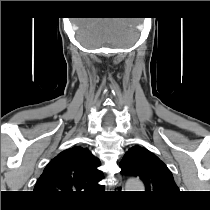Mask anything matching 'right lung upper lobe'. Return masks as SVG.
<instances>
[{"instance_id": "1", "label": "right lung upper lobe", "mask_w": 210, "mask_h": 210, "mask_svg": "<svg viewBox=\"0 0 210 210\" xmlns=\"http://www.w3.org/2000/svg\"><path fill=\"white\" fill-rule=\"evenodd\" d=\"M99 165V159L87 148H69L48 163L34 191L56 203L70 202L102 188L98 184L103 178V173L97 169Z\"/></svg>"}]
</instances>
